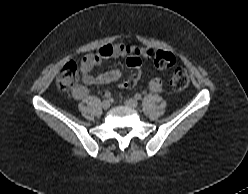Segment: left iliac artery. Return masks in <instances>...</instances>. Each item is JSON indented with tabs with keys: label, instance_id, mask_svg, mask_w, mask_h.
Returning a JSON list of instances; mask_svg holds the SVG:
<instances>
[{
	"label": "left iliac artery",
	"instance_id": "44dca946",
	"mask_svg": "<svg viewBox=\"0 0 248 194\" xmlns=\"http://www.w3.org/2000/svg\"><path fill=\"white\" fill-rule=\"evenodd\" d=\"M134 98H135L136 100H140V99L142 98V96H141V94L136 93V94L134 95Z\"/></svg>",
	"mask_w": 248,
	"mask_h": 194
}]
</instances>
